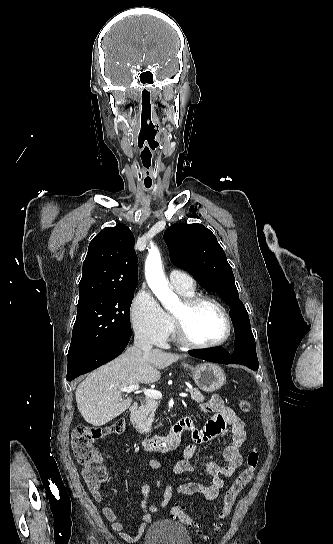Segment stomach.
<instances>
[{"instance_id":"1","label":"stomach","mask_w":333,"mask_h":544,"mask_svg":"<svg viewBox=\"0 0 333 544\" xmlns=\"http://www.w3.org/2000/svg\"><path fill=\"white\" fill-rule=\"evenodd\" d=\"M196 385L205 392L219 390L226 382L224 370L213 363H203L190 367Z\"/></svg>"}]
</instances>
